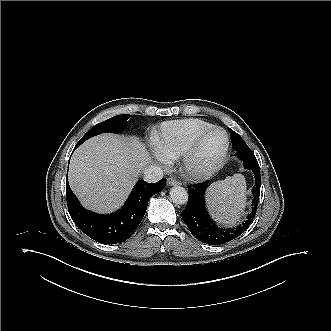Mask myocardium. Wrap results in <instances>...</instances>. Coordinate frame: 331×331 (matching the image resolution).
Listing matches in <instances>:
<instances>
[{"mask_svg": "<svg viewBox=\"0 0 331 331\" xmlns=\"http://www.w3.org/2000/svg\"><path fill=\"white\" fill-rule=\"evenodd\" d=\"M214 132H221L224 135L225 143L219 156L210 163L200 164L198 152L204 140ZM230 139L228 133L221 127H211L197 135L181 155L180 165L183 172L193 179H201L212 175L225 162L229 150Z\"/></svg>", "mask_w": 331, "mask_h": 331, "instance_id": "f54148a6", "label": "myocardium"}]
</instances>
